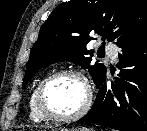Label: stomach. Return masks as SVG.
<instances>
[{
    "label": "stomach",
    "instance_id": "stomach-1",
    "mask_svg": "<svg viewBox=\"0 0 147 131\" xmlns=\"http://www.w3.org/2000/svg\"><path fill=\"white\" fill-rule=\"evenodd\" d=\"M53 131H93L90 128H72V129H68V128H64V127H60L58 129H55Z\"/></svg>",
    "mask_w": 147,
    "mask_h": 131
}]
</instances>
